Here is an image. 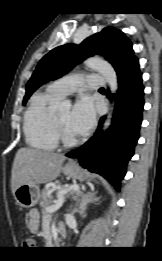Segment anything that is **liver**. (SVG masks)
<instances>
[{
  "label": "liver",
  "mask_w": 162,
  "mask_h": 261,
  "mask_svg": "<svg viewBox=\"0 0 162 261\" xmlns=\"http://www.w3.org/2000/svg\"><path fill=\"white\" fill-rule=\"evenodd\" d=\"M66 157L32 148H20L14 158L11 172V190L22 184H44L55 180Z\"/></svg>",
  "instance_id": "obj_1"
}]
</instances>
